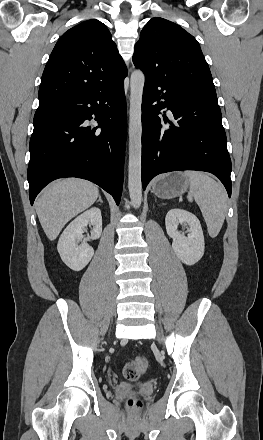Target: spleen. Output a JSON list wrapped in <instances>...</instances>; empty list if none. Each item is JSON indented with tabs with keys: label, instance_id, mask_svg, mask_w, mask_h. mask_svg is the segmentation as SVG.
Listing matches in <instances>:
<instances>
[{
	"label": "spleen",
	"instance_id": "spleen-1",
	"mask_svg": "<svg viewBox=\"0 0 263 440\" xmlns=\"http://www.w3.org/2000/svg\"><path fill=\"white\" fill-rule=\"evenodd\" d=\"M189 182L188 200L198 204L207 225L209 235L214 238L220 232L227 213V192L224 186L201 171H185Z\"/></svg>",
	"mask_w": 263,
	"mask_h": 440
}]
</instances>
